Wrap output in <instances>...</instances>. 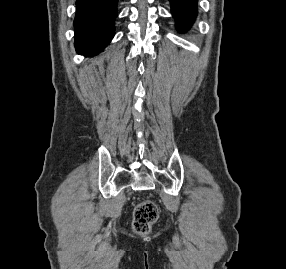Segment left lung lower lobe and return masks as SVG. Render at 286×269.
<instances>
[{"label": "left lung lower lobe", "mask_w": 286, "mask_h": 269, "mask_svg": "<svg viewBox=\"0 0 286 269\" xmlns=\"http://www.w3.org/2000/svg\"><path fill=\"white\" fill-rule=\"evenodd\" d=\"M170 3L177 29L186 31L197 15V0H170Z\"/></svg>", "instance_id": "1"}]
</instances>
